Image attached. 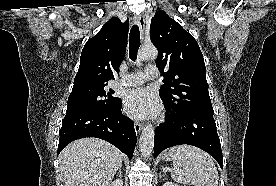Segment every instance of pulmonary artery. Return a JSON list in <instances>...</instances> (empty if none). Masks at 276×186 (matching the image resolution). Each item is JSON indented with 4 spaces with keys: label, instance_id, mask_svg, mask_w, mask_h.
Returning <instances> with one entry per match:
<instances>
[{
    "label": "pulmonary artery",
    "instance_id": "pulmonary-artery-1",
    "mask_svg": "<svg viewBox=\"0 0 276 186\" xmlns=\"http://www.w3.org/2000/svg\"><path fill=\"white\" fill-rule=\"evenodd\" d=\"M159 71L156 66H147L144 71L132 73L126 76H123L119 85L121 86H136L142 84L146 80H153L157 78Z\"/></svg>",
    "mask_w": 276,
    "mask_h": 186
}]
</instances>
